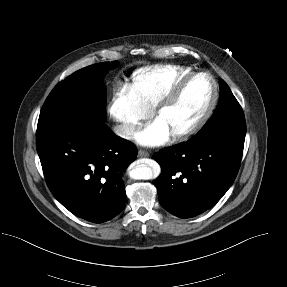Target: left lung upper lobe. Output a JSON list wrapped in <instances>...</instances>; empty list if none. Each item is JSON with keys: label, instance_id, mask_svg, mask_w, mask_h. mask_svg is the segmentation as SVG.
Masks as SVG:
<instances>
[{"label": "left lung upper lobe", "instance_id": "left-lung-upper-lobe-1", "mask_svg": "<svg viewBox=\"0 0 287 287\" xmlns=\"http://www.w3.org/2000/svg\"><path fill=\"white\" fill-rule=\"evenodd\" d=\"M220 89L218 107L193 138L204 142L225 141L244 145L246 124L243 110L223 80H220Z\"/></svg>", "mask_w": 287, "mask_h": 287}]
</instances>
